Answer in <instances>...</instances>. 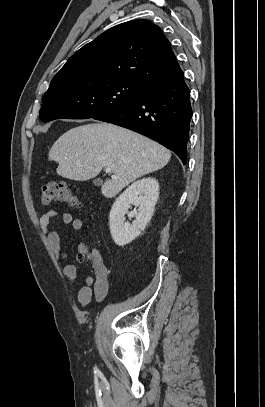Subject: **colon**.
<instances>
[{"instance_id": "obj_1", "label": "colon", "mask_w": 265, "mask_h": 407, "mask_svg": "<svg viewBox=\"0 0 265 407\" xmlns=\"http://www.w3.org/2000/svg\"><path fill=\"white\" fill-rule=\"evenodd\" d=\"M42 202L45 205L54 202H67L74 206L80 205L78 193L64 183L50 182L42 186ZM81 257L92 259L97 262L95 254L90 253L86 248H81Z\"/></svg>"}]
</instances>
